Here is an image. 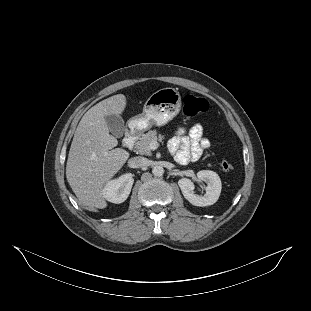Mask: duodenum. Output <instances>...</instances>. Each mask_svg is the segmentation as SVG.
<instances>
[{"label":"duodenum","instance_id":"1","mask_svg":"<svg viewBox=\"0 0 311 311\" xmlns=\"http://www.w3.org/2000/svg\"><path fill=\"white\" fill-rule=\"evenodd\" d=\"M138 137V131L134 128L127 130L124 139H123V147L127 149L133 148L136 139Z\"/></svg>","mask_w":311,"mask_h":311}]
</instances>
